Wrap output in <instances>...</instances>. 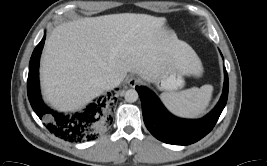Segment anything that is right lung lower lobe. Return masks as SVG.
Segmentation results:
<instances>
[{
	"label": "right lung lower lobe",
	"instance_id": "right-lung-lower-lobe-1",
	"mask_svg": "<svg viewBox=\"0 0 267 166\" xmlns=\"http://www.w3.org/2000/svg\"><path fill=\"white\" fill-rule=\"evenodd\" d=\"M45 36L36 46L29 63L27 93L34 112L44 121L46 128L60 139L68 142H85L96 138L112 123V93L100 96L82 111L64 114L53 111L42 101L39 88V59Z\"/></svg>",
	"mask_w": 267,
	"mask_h": 166
}]
</instances>
